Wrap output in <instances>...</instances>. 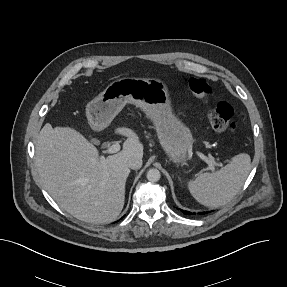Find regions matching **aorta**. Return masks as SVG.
<instances>
[{"instance_id":"762f6f07","label":"aorta","mask_w":287,"mask_h":287,"mask_svg":"<svg viewBox=\"0 0 287 287\" xmlns=\"http://www.w3.org/2000/svg\"><path fill=\"white\" fill-rule=\"evenodd\" d=\"M160 177H161V174L158 169L152 168V169H149L147 172V179L150 182H157L160 180Z\"/></svg>"}]
</instances>
